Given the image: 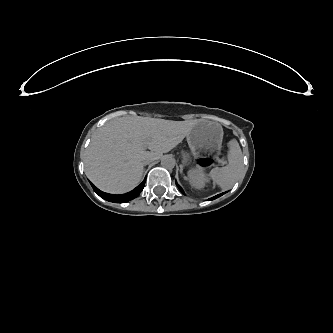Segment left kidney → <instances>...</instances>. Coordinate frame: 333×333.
<instances>
[{"label": "left kidney", "instance_id": "left-kidney-1", "mask_svg": "<svg viewBox=\"0 0 333 333\" xmlns=\"http://www.w3.org/2000/svg\"><path fill=\"white\" fill-rule=\"evenodd\" d=\"M187 179L190 185L196 189H201L209 183L208 174L205 167L197 164L187 170Z\"/></svg>", "mask_w": 333, "mask_h": 333}]
</instances>
